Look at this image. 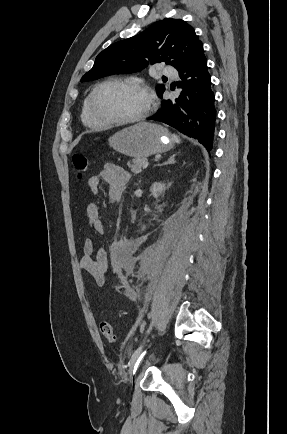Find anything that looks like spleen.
Here are the masks:
<instances>
[{
	"label": "spleen",
	"instance_id": "spleen-1",
	"mask_svg": "<svg viewBox=\"0 0 287 434\" xmlns=\"http://www.w3.org/2000/svg\"><path fill=\"white\" fill-rule=\"evenodd\" d=\"M173 137H174L175 142H177V143H180V142H181L179 136H177V135H173Z\"/></svg>",
	"mask_w": 287,
	"mask_h": 434
}]
</instances>
